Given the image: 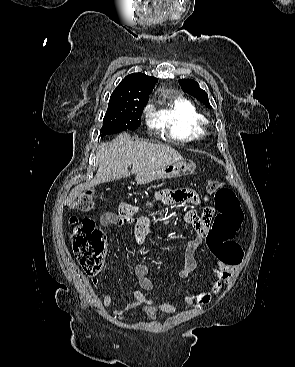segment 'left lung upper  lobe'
I'll list each match as a JSON object with an SVG mask.
<instances>
[{"label": "left lung upper lobe", "instance_id": "left-lung-upper-lobe-1", "mask_svg": "<svg viewBox=\"0 0 295 367\" xmlns=\"http://www.w3.org/2000/svg\"><path fill=\"white\" fill-rule=\"evenodd\" d=\"M179 83L184 92L189 93L205 104V106L211 108L207 93L199 87L196 81L192 79H180Z\"/></svg>", "mask_w": 295, "mask_h": 367}]
</instances>
